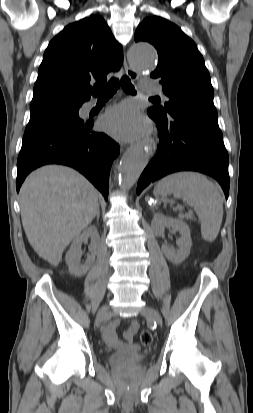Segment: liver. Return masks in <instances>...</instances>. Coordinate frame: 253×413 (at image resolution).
Segmentation results:
<instances>
[{"label":"liver","instance_id":"1","mask_svg":"<svg viewBox=\"0 0 253 413\" xmlns=\"http://www.w3.org/2000/svg\"><path fill=\"white\" fill-rule=\"evenodd\" d=\"M19 199L30 245L53 266L92 222L99 207L95 187L77 171L60 165L32 172L20 189Z\"/></svg>","mask_w":253,"mask_h":413}]
</instances>
